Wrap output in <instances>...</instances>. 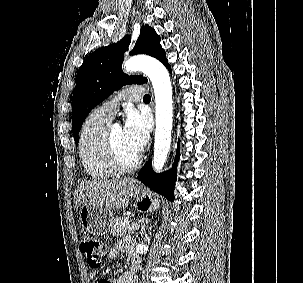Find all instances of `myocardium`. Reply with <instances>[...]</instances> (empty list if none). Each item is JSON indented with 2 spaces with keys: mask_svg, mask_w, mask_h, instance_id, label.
I'll return each instance as SVG.
<instances>
[{
  "mask_svg": "<svg viewBox=\"0 0 303 283\" xmlns=\"http://www.w3.org/2000/svg\"><path fill=\"white\" fill-rule=\"evenodd\" d=\"M114 124H109L106 128L104 138H103V152L104 157L109 165V167L115 172V173H127L134 169H136L140 162H141V156L137 154L135 159L131 163H124L118 154L116 145L114 143L113 134H112V128Z\"/></svg>",
  "mask_w": 303,
  "mask_h": 283,
  "instance_id": "myocardium-1",
  "label": "myocardium"
}]
</instances>
